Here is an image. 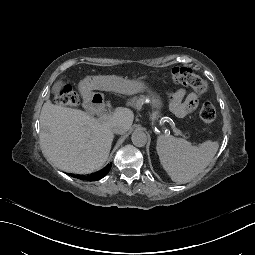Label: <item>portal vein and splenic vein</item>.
<instances>
[{
    "instance_id": "18ae733b",
    "label": "portal vein and splenic vein",
    "mask_w": 255,
    "mask_h": 255,
    "mask_svg": "<svg viewBox=\"0 0 255 255\" xmlns=\"http://www.w3.org/2000/svg\"><path fill=\"white\" fill-rule=\"evenodd\" d=\"M117 114H123V111L112 110L110 113L98 114L95 118V121L109 120L112 117H115ZM162 129H168V131H173V126H168V124H162ZM174 133L181 136V138H186V133L180 131L179 128H174Z\"/></svg>"
}]
</instances>
